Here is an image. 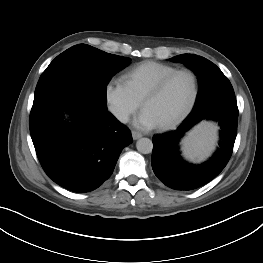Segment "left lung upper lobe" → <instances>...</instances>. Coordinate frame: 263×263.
I'll use <instances>...</instances> for the list:
<instances>
[{"label": "left lung upper lobe", "mask_w": 263, "mask_h": 263, "mask_svg": "<svg viewBox=\"0 0 263 263\" xmlns=\"http://www.w3.org/2000/svg\"><path fill=\"white\" fill-rule=\"evenodd\" d=\"M171 61L184 63L198 76L199 92L195 107L215 97L235 96L228 78L214 63L206 58L197 55L182 54L171 58Z\"/></svg>", "instance_id": "left-lung-upper-lobe-1"}]
</instances>
